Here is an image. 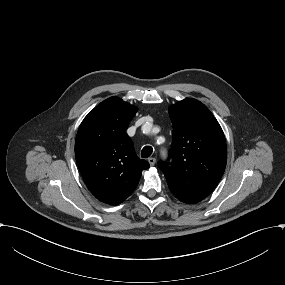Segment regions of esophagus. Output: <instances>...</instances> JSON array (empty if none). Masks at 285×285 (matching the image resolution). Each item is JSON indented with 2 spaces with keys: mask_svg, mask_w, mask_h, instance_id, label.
<instances>
[{
  "mask_svg": "<svg viewBox=\"0 0 285 285\" xmlns=\"http://www.w3.org/2000/svg\"><path fill=\"white\" fill-rule=\"evenodd\" d=\"M148 162H149L150 166H154L156 163V159L154 157H150V158H148Z\"/></svg>",
  "mask_w": 285,
  "mask_h": 285,
  "instance_id": "1",
  "label": "esophagus"
}]
</instances>
